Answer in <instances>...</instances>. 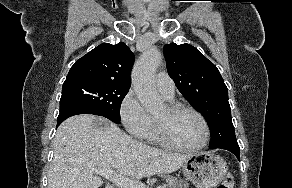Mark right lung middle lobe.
Wrapping results in <instances>:
<instances>
[{
    "label": "right lung middle lobe",
    "instance_id": "right-lung-middle-lobe-1",
    "mask_svg": "<svg viewBox=\"0 0 292 188\" xmlns=\"http://www.w3.org/2000/svg\"><path fill=\"white\" fill-rule=\"evenodd\" d=\"M129 88L90 79L68 80L63 83L60 110L80 108L120 124V105Z\"/></svg>",
    "mask_w": 292,
    "mask_h": 188
}]
</instances>
